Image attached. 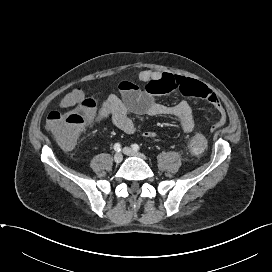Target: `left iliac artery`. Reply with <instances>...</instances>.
<instances>
[{
    "label": "left iliac artery",
    "mask_w": 272,
    "mask_h": 272,
    "mask_svg": "<svg viewBox=\"0 0 272 272\" xmlns=\"http://www.w3.org/2000/svg\"><path fill=\"white\" fill-rule=\"evenodd\" d=\"M132 149L135 150V151H137V150L140 149V147H139L138 144H133V145H132Z\"/></svg>",
    "instance_id": "44dca946"
}]
</instances>
